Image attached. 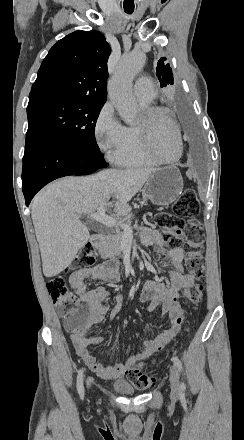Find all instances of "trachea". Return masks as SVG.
Listing matches in <instances>:
<instances>
[{"label":"trachea","instance_id":"3493384b","mask_svg":"<svg viewBox=\"0 0 244 440\" xmlns=\"http://www.w3.org/2000/svg\"><path fill=\"white\" fill-rule=\"evenodd\" d=\"M124 11L128 14H132L134 9H128V8H124Z\"/></svg>","mask_w":244,"mask_h":440}]
</instances>
